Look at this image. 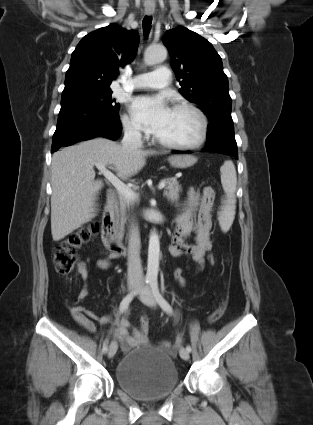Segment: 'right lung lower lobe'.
Wrapping results in <instances>:
<instances>
[{
  "label": "right lung lower lobe",
  "instance_id": "obj_1",
  "mask_svg": "<svg viewBox=\"0 0 313 425\" xmlns=\"http://www.w3.org/2000/svg\"><path fill=\"white\" fill-rule=\"evenodd\" d=\"M122 126L118 112L76 100L61 102L51 152L94 137L116 140Z\"/></svg>",
  "mask_w": 313,
  "mask_h": 425
}]
</instances>
